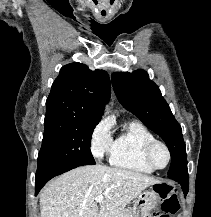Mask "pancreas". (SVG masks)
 <instances>
[{"mask_svg":"<svg viewBox=\"0 0 211 217\" xmlns=\"http://www.w3.org/2000/svg\"><path fill=\"white\" fill-rule=\"evenodd\" d=\"M116 217H133V216H132V209H130V208L124 209V210L122 211V213L119 214V215L116 216Z\"/></svg>","mask_w":211,"mask_h":217,"instance_id":"1","label":"pancreas"}]
</instances>
